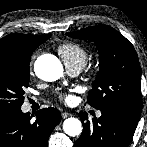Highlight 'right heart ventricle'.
I'll list each match as a JSON object with an SVG mask.
<instances>
[{
  "mask_svg": "<svg viewBox=\"0 0 147 147\" xmlns=\"http://www.w3.org/2000/svg\"><path fill=\"white\" fill-rule=\"evenodd\" d=\"M57 50L66 67L77 66L82 69L88 61V51L81 44L65 42L59 45Z\"/></svg>",
  "mask_w": 147,
  "mask_h": 147,
  "instance_id": "1",
  "label": "right heart ventricle"
}]
</instances>
